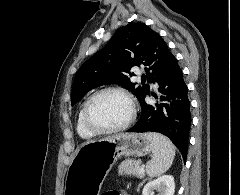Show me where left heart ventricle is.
<instances>
[{"label": "left heart ventricle", "mask_w": 240, "mask_h": 195, "mask_svg": "<svg viewBox=\"0 0 240 195\" xmlns=\"http://www.w3.org/2000/svg\"><path fill=\"white\" fill-rule=\"evenodd\" d=\"M131 114L129 101L121 94L107 93L92 105V122L101 128H111L125 123Z\"/></svg>", "instance_id": "b2bd125f"}]
</instances>
